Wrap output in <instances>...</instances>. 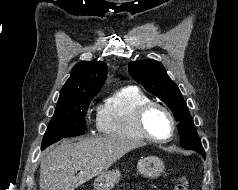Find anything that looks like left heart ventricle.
<instances>
[{
	"instance_id": "left-heart-ventricle-1",
	"label": "left heart ventricle",
	"mask_w": 238,
	"mask_h": 190,
	"mask_svg": "<svg viewBox=\"0 0 238 190\" xmlns=\"http://www.w3.org/2000/svg\"><path fill=\"white\" fill-rule=\"evenodd\" d=\"M146 124L148 130L157 137H165L170 132V121L159 109H154L148 114Z\"/></svg>"
}]
</instances>
